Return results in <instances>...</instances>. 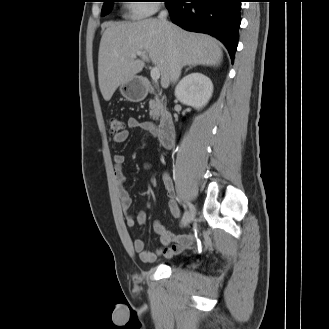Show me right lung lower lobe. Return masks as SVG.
<instances>
[{
  "label": "right lung lower lobe",
  "mask_w": 329,
  "mask_h": 329,
  "mask_svg": "<svg viewBox=\"0 0 329 329\" xmlns=\"http://www.w3.org/2000/svg\"><path fill=\"white\" fill-rule=\"evenodd\" d=\"M189 1V2H186ZM242 0H166L173 23L219 39L234 60Z\"/></svg>",
  "instance_id": "1"
}]
</instances>
